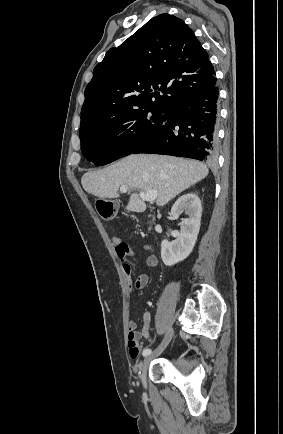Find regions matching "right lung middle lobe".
I'll return each instance as SVG.
<instances>
[{"label":"right lung middle lobe","instance_id":"right-lung-middle-lobe-1","mask_svg":"<svg viewBox=\"0 0 283 434\" xmlns=\"http://www.w3.org/2000/svg\"><path fill=\"white\" fill-rule=\"evenodd\" d=\"M152 113V115H151ZM166 120L165 110H131L80 130L81 151L95 165L131 154Z\"/></svg>","mask_w":283,"mask_h":434}]
</instances>
